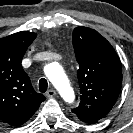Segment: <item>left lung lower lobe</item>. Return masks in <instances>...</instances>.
<instances>
[{"mask_svg": "<svg viewBox=\"0 0 133 133\" xmlns=\"http://www.w3.org/2000/svg\"><path fill=\"white\" fill-rule=\"evenodd\" d=\"M81 121L86 122V123H89V124H92V122H88V121H84V120H81Z\"/></svg>", "mask_w": 133, "mask_h": 133, "instance_id": "obj_1", "label": "left lung lower lobe"}]
</instances>
